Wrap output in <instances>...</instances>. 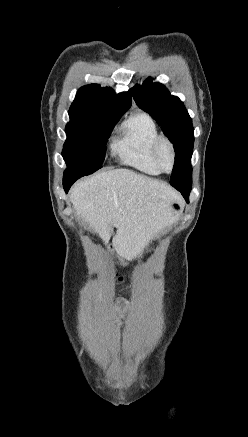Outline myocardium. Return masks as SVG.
Listing matches in <instances>:
<instances>
[{
  "instance_id": "f54148a6",
  "label": "myocardium",
  "mask_w": 248,
  "mask_h": 437,
  "mask_svg": "<svg viewBox=\"0 0 248 437\" xmlns=\"http://www.w3.org/2000/svg\"><path fill=\"white\" fill-rule=\"evenodd\" d=\"M164 148H167L171 155V165L168 169L163 166L161 160V154ZM152 155L156 166L161 172L170 173L173 171L176 164V150L174 144L170 139L162 136L159 137L153 145Z\"/></svg>"
}]
</instances>
